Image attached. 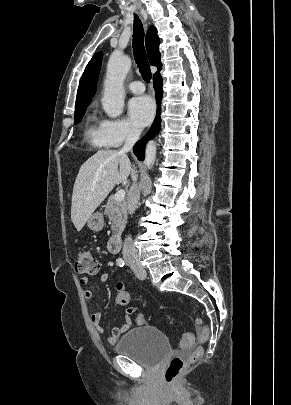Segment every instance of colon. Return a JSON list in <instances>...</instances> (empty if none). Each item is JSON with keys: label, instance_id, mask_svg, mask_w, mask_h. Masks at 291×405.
Wrapping results in <instances>:
<instances>
[{"label": "colon", "instance_id": "1", "mask_svg": "<svg viewBox=\"0 0 291 405\" xmlns=\"http://www.w3.org/2000/svg\"><path fill=\"white\" fill-rule=\"evenodd\" d=\"M75 269L78 273L95 275L99 271V263L95 259L92 251L87 247H81L77 252ZM130 300V294L124 284L118 283L116 287V301L120 305H126ZM199 329V345L188 357H173L166 370L165 380L168 384H173L181 375L183 370L191 363L197 361L204 352L203 345L209 340V328L199 318L195 320ZM194 342L191 333H185L181 339V346L189 348Z\"/></svg>", "mask_w": 291, "mask_h": 405}]
</instances>
